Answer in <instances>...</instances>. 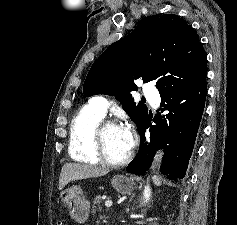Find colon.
Segmentation results:
<instances>
[{
	"label": "colon",
	"mask_w": 237,
	"mask_h": 225,
	"mask_svg": "<svg viewBox=\"0 0 237 225\" xmlns=\"http://www.w3.org/2000/svg\"><path fill=\"white\" fill-rule=\"evenodd\" d=\"M57 225H67V222L64 219H60L58 220Z\"/></svg>",
	"instance_id": "obj_1"
}]
</instances>
